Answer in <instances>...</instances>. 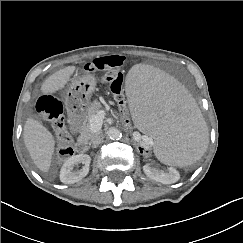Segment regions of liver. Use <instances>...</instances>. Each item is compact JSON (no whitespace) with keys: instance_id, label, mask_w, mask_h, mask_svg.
I'll use <instances>...</instances> for the list:
<instances>
[{"instance_id":"6515ba94","label":"liver","mask_w":243,"mask_h":243,"mask_svg":"<svg viewBox=\"0 0 243 243\" xmlns=\"http://www.w3.org/2000/svg\"><path fill=\"white\" fill-rule=\"evenodd\" d=\"M75 70V66H68L55 72L43 82L41 92L47 95L62 90ZM23 138L34 164L39 170L47 173L55 149V140L51 132L41 122L28 118L24 125Z\"/></svg>"}]
</instances>
